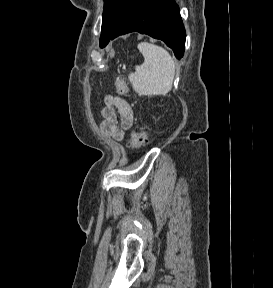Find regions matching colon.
Masks as SVG:
<instances>
[{
    "instance_id": "obj_1",
    "label": "colon",
    "mask_w": 273,
    "mask_h": 288,
    "mask_svg": "<svg viewBox=\"0 0 273 288\" xmlns=\"http://www.w3.org/2000/svg\"><path fill=\"white\" fill-rule=\"evenodd\" d=\"M115 86L119 94L127 93V85L122 77H117L115 81ZM147 142V133L144 130H137L132 133L131 139L128 142V147L131 149H139Z\"/></svg>"
}]
</instances>
